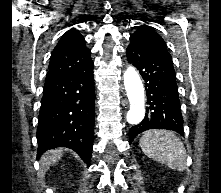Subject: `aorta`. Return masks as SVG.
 I'll list each match as a JSON object with an SVG mask.
<instances>
[{"mask_svg":"<svg viewBox=\"0 0 221 193\" xmlns=\"http://www.w3.org/2000/svg\"><path fill=\"white\" fill-rule=\"evenodd\" d=\"M124 85L130 103L126 119L129 124H139L145 115V95L139 74L133 67L124 72Z\"/></svg>","mask_w":221,"mask_h":193,"instance_id":"aorta-1","label":"aorta"}]
</instances>
